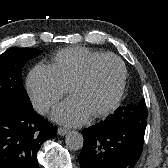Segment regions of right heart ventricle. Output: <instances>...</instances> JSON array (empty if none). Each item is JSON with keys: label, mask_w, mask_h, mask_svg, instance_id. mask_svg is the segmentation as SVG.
Returning <instances> with one entry per match:
<instances>
[{"label": "right heart ventricle", "mask_w": 168, "mask_h": 168, "mask_svg": "<svg viewBox=\"0 0 168 168\" xmlns=\"http://www.w3.org/2000/svg\"><path fill=\"white\" fill-rule=\"evenodd\" d=\"M104 53L86 47H70L58 51L53 58V66L63 83L70 87L86 65Z\"/></svg>", "instance_id": "obj_1"}]
</instances>
